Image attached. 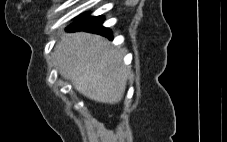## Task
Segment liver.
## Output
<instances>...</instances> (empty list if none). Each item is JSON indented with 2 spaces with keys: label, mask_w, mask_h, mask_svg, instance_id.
<instances>
[{
  "label": "liver",
  "mask_w": 227,
  "mask_h": 142,
  "mask_svg": "<svg viewBox=\"0 0 227 142\" xmlns=\"http://www.w3.org/2000/svg\"><path fill=\"white\" fill-rule=\"evenodd\" d=\"M54 55L60 74L85 97L108 104L122 100L131 70L107 39L85 32L62 33Z\"/></svg>",
  "instance_id": "liver-1"
}]
</instances>
